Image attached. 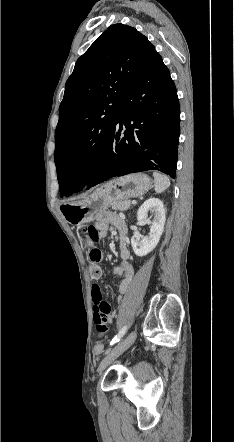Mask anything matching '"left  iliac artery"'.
<instances>
[{"label":"left iliac artery","instance_id":"1","mask_svg":"<svg viewBox=\"0 0 234 442\" xmlns=\"http://www.w3.org/2000/svg\"><path fill=\"white\" fill-rule=\"evenodd\" d=\"M127 330H128V327H127V326H124V327L119 331V333H118V334L112 339L110 345L112 346V345L118 343V342L120 341V339L126 334Z\"/></svg>","mask_w":234,"mask_h":442}]
</instances>
